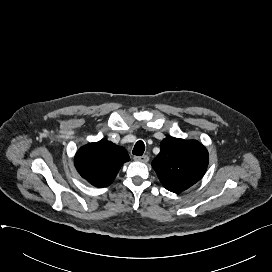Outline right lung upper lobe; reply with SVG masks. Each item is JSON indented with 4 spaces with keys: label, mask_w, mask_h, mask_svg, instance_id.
Instances as JSON below:
<instances>
[{
    "label": "right lung upper lobe",
    "mask_w": 272,
    "mask_h": 272,
    "mask_svg": "<svg viewBox=\"0 0 272 272\" xmlns=\"http://www.w3.org/2000/svg\"><path fill=\"white\" fill-rule=\"evenodd\" d=\"M129 160L124 147L102 139L78 150L75 155V167L90 184L107 187L114 181L121 166Z\"/></svg>",
    "instance_id": "right-lung-upper-lobe-1"
}]
</instances>
